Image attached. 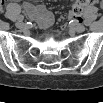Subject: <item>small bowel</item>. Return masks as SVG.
I'll return each instance as SVG.
<instances>
[{
  "label": "small bowel",
  "instance_id": "c3829d8e",
  "mask_svg": "<svg viewBox=\"0 0 103 103\" xmlns=\"http://www.w3.org/2000/svg\"><path fill=\"white\" fill-rule=\"evenodd\" d=\"M4 4V2H1V7ZM22 7L29 17L38 22L41 28H48L53 24L54 17L44 6L36 5L31 2H24Z\"/></svg>",
  "mask_w": 103,
  "mask_h": 103
}]
</instances>
